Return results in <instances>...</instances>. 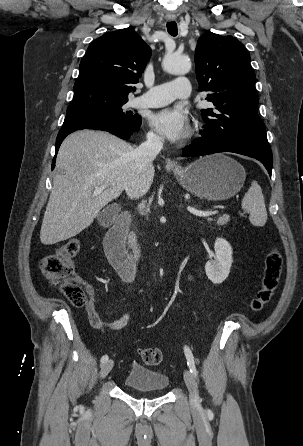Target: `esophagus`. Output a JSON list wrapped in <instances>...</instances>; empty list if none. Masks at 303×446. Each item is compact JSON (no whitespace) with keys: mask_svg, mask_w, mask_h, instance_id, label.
Segmentation results:
<instances>
[{"mask_svg":"<svg viewBox=\"0 0 303 446\" xmlns=\"http://www.w3.org/2000/svg\"><path fill=\"white\" fill-rule=\"evenodd\" d=\"M174 20V18H168V21H173Z\"/></svg>","mask_w":303,"mask_h":446,"instance_id":"1","label":"esophagus"}]
</instances>
